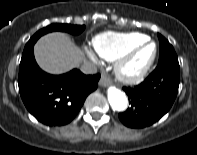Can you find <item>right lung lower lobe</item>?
I'll use <instances>...</instances> for the list:
<instances>
[{
  "instance_id": "right-lung-lower-lobe-1",
  "label": "right lung lower lobe",
  "mask_w": 197,
  "mask_h": 155,
  "mask_svg": "<svg viewBox=\"0 0 197 155\" xmlns=\"http://www.w3.org/2000/svg\"><path fill=\"white\" fill-rule=\"evenodd\" d=\"M34 45L23 51L18 76L21 98L28 111L49 126L68 124L86 97L98 87L100 75L74 69L62 75L42 71L34 58Z\"/></svg>"
}]
</instances>
